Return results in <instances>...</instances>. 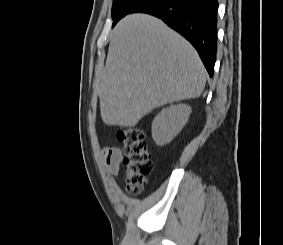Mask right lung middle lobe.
I'll return each mask as SVG.
<instances>
[{"label": "right lung middle lobe", "instance_id": "dd1d6c3e", "mask_svg": "<svg viewBox=\"0 0 283 245\" xmlns=\"http://www.w3.org/2000/svg\"><path fill=\"white\" fill-rule=\"evenodd\" d=\"M143 1L145 0H114L112 6L113 26Z\"/></svg>", "mask_w": 283, "mask_h": 245}]
</instances>
